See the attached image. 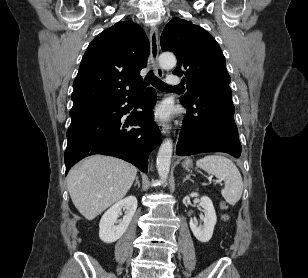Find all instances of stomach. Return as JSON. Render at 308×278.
Returning <instances> with one entry per match:
<instances>
[{
	"mask_svg": "<svg viewBox=\"0 0 308 278\" xmlns=\"http://www.w3.org/2000/svg\"><path fill=\"white\" fill-rule=\"evenodd\" d=\"M192 161L190 160V159H187V160H185L184 162H183V167L185 168V169H189V168H191L192 167Z\"/></svg>",
	"mask_w": 308,
	"mask_h": 278,
	"instance_id": "1",
	"label": "stomach"
}]
</instances>
